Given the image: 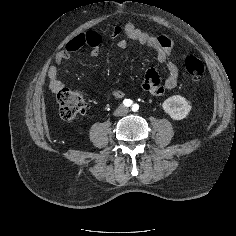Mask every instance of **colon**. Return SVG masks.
Wrapping results in <instances>:
<instances>
[{
  "label": "colon",
  "mask_w": 236,
  "mask_h": 236,
  "mask_svg": "<svg viewBox=\"0 0 236 236\" xmlns=\"http://www.w3.org/2000/svg\"><path fill=\"white\" fill-rule=\"evenodd\" d=\"M185 70L194 79H200L205 71L204 64L196 57L186 58ZM56 98L59 104V114L64 121H74L85 112L87 102L82 93L65 87L58 89Z\"/></svg>",
  "instance_id": "colon-1"
}]
</instances>
